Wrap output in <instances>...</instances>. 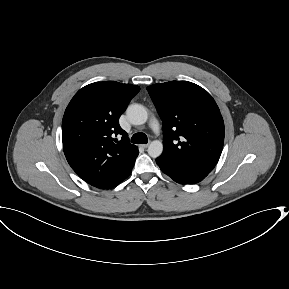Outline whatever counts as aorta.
I'll use <instances>...</instances> for the list:
<instances>
[{"label": "aorta", "instance_id": "762f6f07", "mask_svg": "<svg viewBox=\"0 0 289 289\" xmlns=\"http://www.w3.org/2000/svg\"><path fill=\"white\" fill-rule=\"evenodd\" d=\"M127 117L133 125H142L148 119V113L144 106L132 104L126 110ZM148 154L152 158L159 157L163 152V144L160 140L152 141L148 146Z\"/></svg>", "mask_w": 289, "mask_h": 289}]
</instances>
